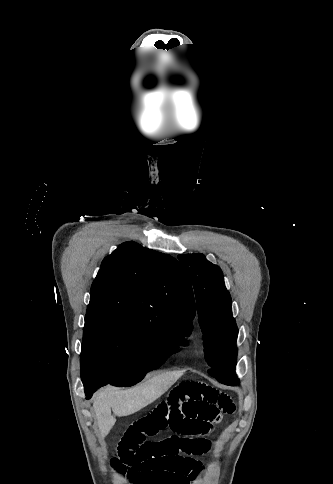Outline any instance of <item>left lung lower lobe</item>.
<instances>
[{
	"label": "left lung lower lobe",
	"instance_id": "0a47b994",
	"mask_svg": "<svg viewBox=\"0 0 333 484\" xmlns=\"http://www.w3.org/2000/svg\"><path fill=\"white\" fill-rule=\"evenodd\" d=\"M228 385H236V384L231 383V384H228Z\"/></svg>",
	"mask_w": 333,
	"mask_h": 484
}]
</instances>
